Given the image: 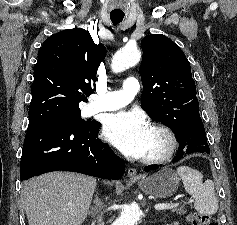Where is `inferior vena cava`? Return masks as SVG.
Returning a JSON list of instances; mask_svg holds the SVG:
<instances>
[{
	"label": "inferior vena cava",
	"instance_id": "inferior-vena-cava-1",
	"mask_svg": "<svg viewBox=\"0 0 237 225\" xmlns=\"http://www.w3.org/2000/svg\"><path fill=\"white\" fill-rule=\"evenodd\" d=\"M102 205V203L100 204V206ZM99 225H104V223L102 222V219H99Z\"/></svg>",
	"mask_w": 237,
	"mask_h": 225
}]
</instances>
